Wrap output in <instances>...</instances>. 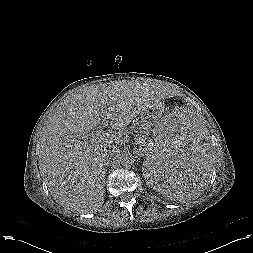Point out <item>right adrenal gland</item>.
Instances as JSON below:
<instances>
[{"label":"right adrenal gland","instance_id":"2a0ac1e0","mask_svg":"<svg viewBox=\"0 0 253 253\" xmlns=\"http://www.w3.org/2000/svg\"><path fill=\"white\" fill-rule=\"evenodd\" d=\"M110 166V160L107 159L106 163H105V173L107 172V168Z\"/></svg>","mask_w":253,"mask_h":253}]
</instances>
